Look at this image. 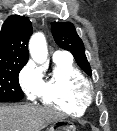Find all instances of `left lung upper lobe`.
Segmentation results:
<instances>
[{
	"mask_svg": "<svg viewBox=\"0 0 117 131\" xmlns=\"http://www.w3.org/2000/svg\"><path fill=\"white\" fill-rule=\"evenodd\" d=\"M51 29L57 45L70 51L80 68L88 75H91V68L85 55L84 44L77 35L73 24L69 22H53Z\"/></svg>",
	"mask_w": 117,
	"mask_h": 131,
	"instance_id": "1",
	"label": "left lung upper lobe"
}]
</instances>
